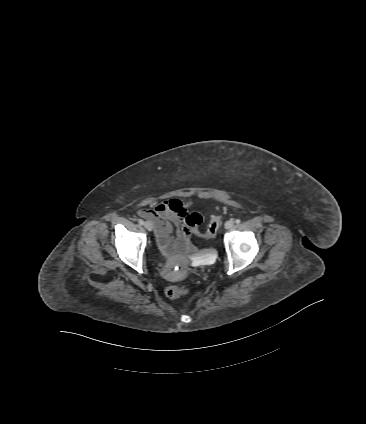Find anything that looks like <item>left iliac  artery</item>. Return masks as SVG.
Returning <instances> with one entry per match:
<instances>
[{
    "mask_svg": "<svg viewBox=\"0 0 366 424\" xmlns=\"http://www.w3.org/2000/svg\"><path fill=\"white\" fill-rule=\"evenodd\" d=\"M240 222H241V221H240V219H236V220H235V223H236V224H240Z\"/></svg>",
    "mask_w": 366,
    "mask_h": 424,
    "instance_id": "obj_1",
    "label": "left iliac artery"
}]
</instances>
